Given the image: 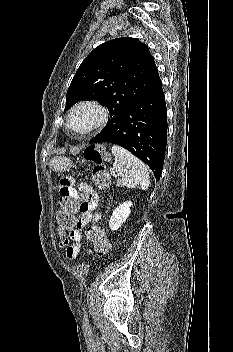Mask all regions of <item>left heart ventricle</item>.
<instances>
[{
  "mask_svg": "<svg viewBox=\"0 0 233 352\" xmlns=\"http://www.w3.org/2000/svg\"><path fill=\"white\" fill-rule=\"evenodd\" d=\"M96 117V113L91 109H81L77 111L72 119L73 126L77 129H84Z\"/></svg>",
  "mask_w": 233,
  "mask_h": 352,
  "instance_id": "b2bd125f",
  "label": "left heart ventricle"
}]
</instances>
